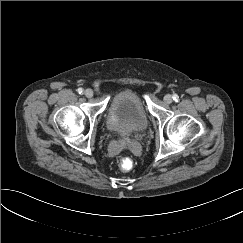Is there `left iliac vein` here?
Here are the masks:
<instances>
[{
    "label": "left iliac vein",
    "mask_w": 243,
    "mask_h": 243,
    "mask_svg": "<svg viewBox=\"0 0 243 243\" xmlns=\"http://www.w3.org/2000/svg\"><path fill=\"white\" fill-rule=\"evenodd\" d=\"M172 101H173V98L170 94H167V95L164 96V102L165 103L170 104V103H172Z\"/></svg>",
    "instance_id": "4c4485c4"
}]
</instances>
